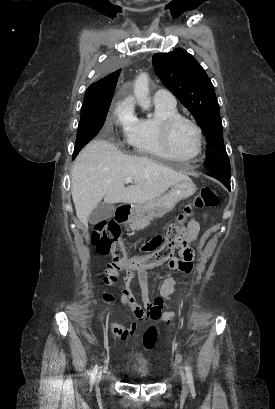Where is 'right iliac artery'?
I'll return each instance as SVG.
<instances>
[{
  "mask_svg": "<svg viewBox=\"0 0 275 409\" xmlns=\"http://www.w3.org/2000/svg\"><path fill=\"white\" fill-rule=\"evenodd\" d=\"M97 370H98V365H95V367L93 368V370H92V372H91V376H90L91 382L94 381L95 376H96V374H97Z\"/></svg>",
  "mask_w": 275,
  "mask_h": 409,
  "instance_id": "obj_1",
  "label": "right iliac artery"
}]
</instances>
